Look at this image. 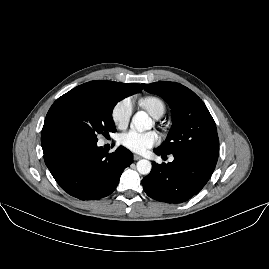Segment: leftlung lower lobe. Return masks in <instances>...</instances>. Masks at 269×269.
<instances>
[{
    "instance_id": "obj_1",
    "label": "left lung lower lobe",
    "mask_w": 269,
    "mask_h": 269,
    "mask_svg": "<svg viewBox=\"0 0 269 269\" xmlns=\"http://www.w3.org/2000/svg\"><path fill=\"white\" fill-rule=\"evenodd\" d=\"M154 152L157 155L168 154L159 148ZM172 154L174 160L168 164L152 163V170L143 178L142 185L146 194L157 201L182 203L202 190L216 163Z\"/></svg>"
}]
</instances>
